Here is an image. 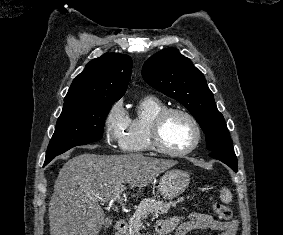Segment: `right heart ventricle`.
<instances>
[{
  "mask_svg": "<svg viewBox=\"0 0 283 235\" xmlns=\"http://www.w3.org/2000/svg\"><path fill=\"white\" fill-rule=\"evenodd\" d=\"M167 105L155 96H145L128 116L127 126L121 137V148L127 153H147L152 150L149 131L154 118Z\"/></svg>",
  "mask_w": 283,
  "mask_h": 235,
  "instance_id": "1",
  "label": "right heart ventricle"
}]
</instances>
